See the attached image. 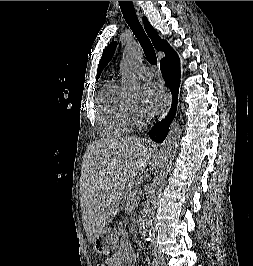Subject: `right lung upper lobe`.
<instances>
[{"label":"right lung upper lobe","instance_id":"right-lung-upper-lobe-1","mask_svg":"<svg viewBox=\"0 0 253 266\" xmlns=\"http://www.w3.org/2000/svg\"><path fill=\"white\" fill-rule=\"evenodd\" d=\"M143 24L156 50L163 51L165 53V57L162 60H165L175 54V51L169 46L168 42L159 37L146 17H143Z\"/></svg>","mask_w":253,"mask_h":266}]
</instances>
